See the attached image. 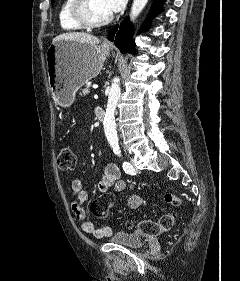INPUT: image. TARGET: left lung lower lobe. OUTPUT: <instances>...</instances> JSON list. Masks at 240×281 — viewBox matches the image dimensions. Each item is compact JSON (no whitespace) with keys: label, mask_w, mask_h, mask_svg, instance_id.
Here are the masks:
<instances>
[{"label":"left lung lower lobe","mask_w":240,"mask_h":281,"mask_svg":"<svg viewBox=\"0 0 240 281\" xmlns=\"http://www.w3.org/2000/svg\"><path fill=\"white\" fill-rule=\"evenodd\" d=\"M166 0H154L150 13L145 21L141 31L147 29L150 26V20L152 17L156 16L160 11H162V6ZM131 33V22L127 17L120 26L116 25L109 33V39L114 41L115 45L120 49L122 53L125 52H135L134 42L130 37Z\"/></svg>","instance_id":"1"}]
</instances>
